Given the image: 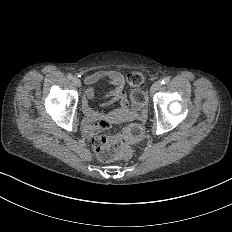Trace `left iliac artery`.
Returning <instances> with one entry per match:
<instances>
[{
    "label": "left iliac artery",
    "mask_w": 232,
    "mask_h": 232,
    "mask_svg": "<svg viewBox=\"0 0 232 232\" xmlns=\"http://www.w3.org/2000/svg\"><path fill=\"white\" fill-rule=\"evenodd\" d=\"M169 82H170L169 77H165V78L162 79L161 84H162V85H166V84H168Z\"/></svg>",
    "instance_id": "obj_1"
}]
</instances>
